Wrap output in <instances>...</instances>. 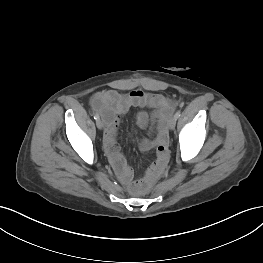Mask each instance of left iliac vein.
Returning a JSON list of instances; mask_svg holds the SVG:
<instances>
[{
  "mask_svg": "<svg viewBox=\"0 0 263 263\" xmlns=\"http://www.w3.org/2000/svg\"><path fill=\"white\" fill-rule=\"evenodd\" d=\"M176 117L173 116L170 120H169V129L173 130L175 128L176 125Z\"/></svg>",
  "mask_w": 263,
  "mask_h": 263,
  "instance_id": "obj_1",
  "label": "left iliac vein"
}]
</instances>
